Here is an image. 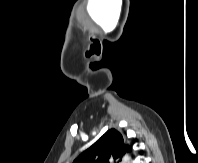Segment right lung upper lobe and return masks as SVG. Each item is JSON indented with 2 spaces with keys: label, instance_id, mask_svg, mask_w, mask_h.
<instances>
[{
  "label": "right lung upper lobe",
  "instance_id": "1",
  "mask_svg": "<svg viewBox=\"0 0 198 163\" xmlns=\"http://www.w3.org/2000/svg\"><path fill=\"white\" fill-rule=\"evenodd\" d=\"M130 151L131 148L124 144L121 133L110 129L91 147L82 152L73 163H110L116 160L119 162L124 154Z\"/></svg>",
  "mask_w": 198,
  "mask_h": 163
}]
</instances>
